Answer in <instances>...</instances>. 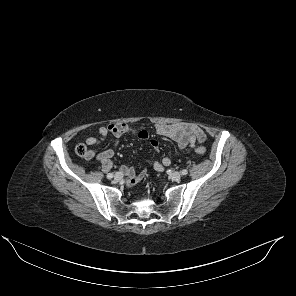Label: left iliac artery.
<instances>
[{
  "label": "left iliac artery",
  "mask_w": 296,
  "mask_h": 296,
  "mask_svg": "<svg viewBox=\"0 0 296 296\" xmlns=\"http://www.w3.org/2000/svg\"><path fill=\"white\" fill-rule=\"evenodd\" d=\"M181 173H182V175H187V174H188V171H187L186 169H183V170L181 171Z\"/></svg>",
  "instance_id": "left-iliac-artery-1"
}]
</instances>
